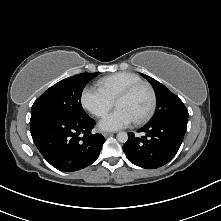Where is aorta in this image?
Wrapping results in <instances>:
<instances>
[{"label":"aorta","mask_w":221,"mask_h":221,"mask_svg":"<svg viewBox=\"0 0 221 221\" xmlns=\"http://www.w3.org/2000/svg\"><path fill=\"white\" fill-rule=\"evenodd\" d=\"M117 140L120 142V143H126L127 140H128V134L126 132H119L117 134Z\"/></svg>","instance_id":"1"}]
</instances>
